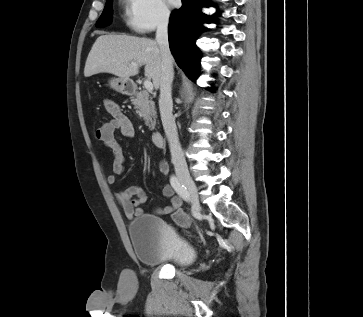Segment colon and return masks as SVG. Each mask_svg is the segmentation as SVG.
<instances>
[{
	"instance_id": "colon-1",
	"label": "colon",
	"mask_w": 363,
	"mask_h": 317,
	"mask_svg": "<svg viewBox=\"0 0 363 317\" xmlns=\"http://www.w3.org/2000/svg\"><path fill=\"white\" fill-rule=\"evenodd\" d=\"M100 126L95 127L94 132H96L99 129ZM173 219L175 223L180 227H188L190 225V219L189 217L181 212L177 211L173 214Z\"/></svg>"
}]
</instances>
